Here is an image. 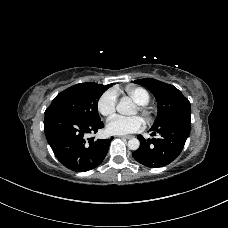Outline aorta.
<instances>
[{
	"mask_svg": "<svg viewBox=\"0 0 228 228\" xmlns=\"http://www.w3.org/2000/svg\"><path fill=\"white\" fill-rule=\"evenodd\" d=\"M117 111L123 115H132L134 113V104L129 98H123L117 105ZM140 146V142L137 138H131L128 141V148L131 150H137Z\"/></svg>",
	"mask_w": 228,
	"mask_h": 228,
	"instance_id": "762f6f07",
	"label": "aorta"
}]
</instances>
